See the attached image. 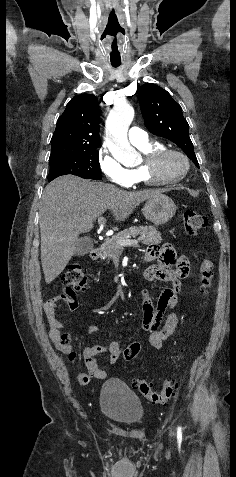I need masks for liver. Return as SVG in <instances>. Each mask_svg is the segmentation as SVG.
Here are the masks:
<instances>
[{
  "mask_svg": "<svg viewBox=\"0 0 236 477\" xmlns=\"http://www.w3.org/2000/svg\"><path fill=\"white\" fill-rule=\"evenodd\" d=\"M159 193L156 189L129 192L72 175L49 183L39 209L45 282L50 284L61 274L76 252L79 234L89 232L106 210L116 221H124L140 203Z\"/></svg>",
  "mask_w": 236,
  "mask_h": 477,
  "instance_id": "1",
  "label": "liver"
}]
</instances>
